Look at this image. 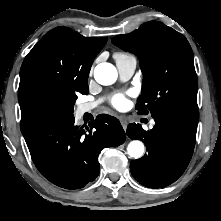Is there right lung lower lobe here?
Segmentation results:
<instances>
[{"label":"right lung lower lobe","instance_id":"98d812e1","mask_svg":"<svg viewBox=\"0 0 221 221\" xmlns=\"http://www.w3.org/2000/svg\"><path fill=\"white\" fill-rule=\"evenodd\" d=\"M39 172L53 184L78 189L98 176V156L124 143L126 134L115 117L101 114L88 126L74 116L40 120L22 132Z\"/></svg>","mask_w":221,"mask_h":221}]
</instances>
